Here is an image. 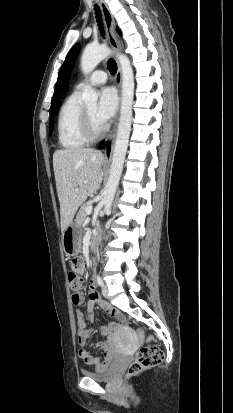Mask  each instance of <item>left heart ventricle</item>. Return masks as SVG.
Here are the masks:
<instances>
[{
    "instance_id": "b2bd125f",
    "label": "left heart ventricle",
    "mask_w": 233,
    "mask_h": 413,
    "mask_svg": "<svg viewBox=\"0 0 233 413\" xmlns=\"http://www.w3.org/2000/svg\"><path fill=\"white\" fill-rule=\"evenodd\" d=\"M88 113L90 114L92 120L94 121V123L96 124V126H101L97 119H96V110H97V105L96 104H92L86 107Z\"/></svg>"
}]
</instances>
